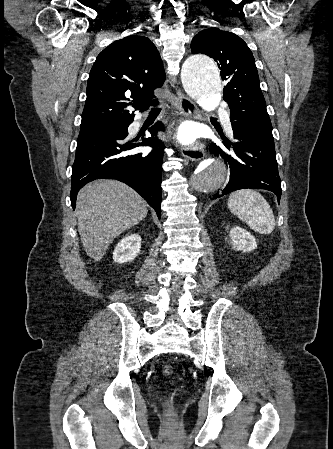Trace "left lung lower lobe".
<instances>
[{
    "instance_id": "obj_1",
    "label": "left lung lower lobe",
    "mask_w": 333,
    "mask_h": 449,
    "mask_svg": "<svg viewBox=\"0 0 333 449\" xmlns=\"http://www.w3.org/2000/svg\"><path fill=\"white\" fill-rule=\"evenodd\" d=\"M232 121L235 142L222 137L229 154L216 147L214 154L225 160L231 173L225 189L216 192L211 200L244 188L265 189L281 197V180L278 174L274 139L271 132Z\"/></svg>"
}]
</instances>
